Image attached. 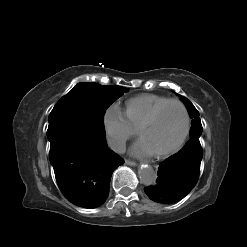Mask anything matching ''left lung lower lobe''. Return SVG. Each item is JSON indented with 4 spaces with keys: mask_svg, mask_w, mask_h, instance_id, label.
Masks as SVG:
<instances>
[{
    "mask_svg": "<svg viewBox=\"0 0 247 247\" xmlns=\"http://www.w3.org/2000/svg\"><path fill=\"white\" fill-rule=\"evenodd\" d=\"M202 157L199 139H190L181 151L160 163L157 182L144 188L145 193L162 204L181 200L198 181Z\"/></svg>",
    "mask_w": 247,
    "mask_h": 247,
    "instance_id": "1",
    "label": "left lung lower lobe"
}]
</instances>
